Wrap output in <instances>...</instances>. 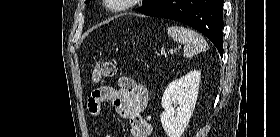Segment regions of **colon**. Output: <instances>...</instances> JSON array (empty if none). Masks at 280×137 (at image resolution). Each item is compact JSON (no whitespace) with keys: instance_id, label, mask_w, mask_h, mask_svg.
Masks as SVG:
<instances>
[{"instance_id":"obj_1","label":"colon","mask_w":280,"mask_h":137,"mask_svg":"<svg viewBox=\"0 0 280 137\" xmlns=\"http://www.w3.org/2000/svg\"><path fill=\"white\" fill-rule=\"evenodd\" d=\"M117 72V66L112 61H104L98 63L92 71V81L100 83L104 79L114 76Z\"/></svg>"}]
</instances>
